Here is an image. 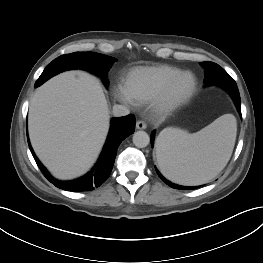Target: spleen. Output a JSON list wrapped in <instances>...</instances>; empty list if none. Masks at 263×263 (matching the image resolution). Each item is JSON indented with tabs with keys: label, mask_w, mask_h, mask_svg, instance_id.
<instances>
[{
	"label": "spleen",
	"mask_w": 263,
	"mask_h": 263,
	"mask_svg": "<svg viewBox=\"0 0 263 263\" xmlns=\"http://www.w3.org/2000/svg\"><path fill=\"white\" fill-rule=\"evenodd\" d=\"M236 132V118L232 114H224L192 134L165 128L156 141L159 168L166 178L181 185L207 183L227 165Z\"/></svg>",
	"instance_id": "3e777b00"
}]
</instances>
